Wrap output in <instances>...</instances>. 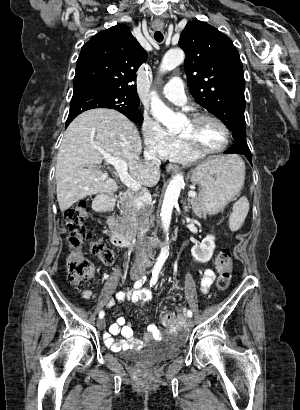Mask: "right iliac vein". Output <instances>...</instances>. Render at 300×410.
Returning <instances> with one entry per match:
<instances>
[{"label": "right iliac vein", "mask_w": 300, "mask_h": 410, "mask_svg": "<svg viewBox=\"0 0 300 410\" xmlns=\"http://www.w3.org/2000/svg\"><path fill=\"white\" fill-rule=\"evenodd\" d=\"M138 277H139V274L137 272L131 273V278L133 280L138 279ZM97 327L101 330L104 329L105 328V321L103 319H99L97 321Z\"/></svg>", "instance_id": "1"}]
</instances>
